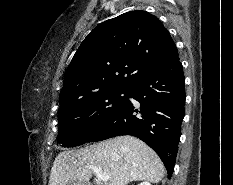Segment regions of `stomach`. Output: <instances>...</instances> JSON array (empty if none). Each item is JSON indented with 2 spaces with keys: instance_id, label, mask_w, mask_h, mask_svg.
<instances>
[{
  "instance_id": "1",
  "label": "stomach",
  "mask_w": 233,
  "mask_h": 185,
  "mask_svg": "<svg viewBox=\"0 0 233 185\" xmlns=\"http://www.w3.org/2000/svg\"><path fill=\"white\" fill-rule=\"evenodd\" d=\"M67 185H88L86 182L70 181Z\"/></svg>"
}]
</instances>
